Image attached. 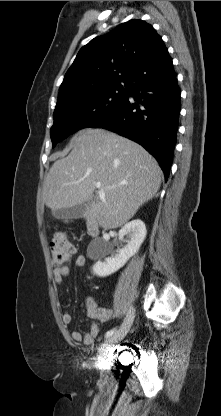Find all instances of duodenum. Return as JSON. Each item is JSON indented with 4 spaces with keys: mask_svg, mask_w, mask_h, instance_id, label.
<instances>
[{
    "mask_svg": "<svg viewBox=\"0 0 221 416\" xmlns=\"http://www.w3.org/2000/svg\"><path fill=\"white\" fill-rule=\"evenodd\" d=\"M87 230H88V233L92 237L97 236L99 234V226H98V223L96 221L90 220L88 222V225H87Z\"/></svg>",
    "mask_w": 221,
    "mask_h": 416,
    "instance_id": "1",
    "label": "duodenum"
}]
</instances>
